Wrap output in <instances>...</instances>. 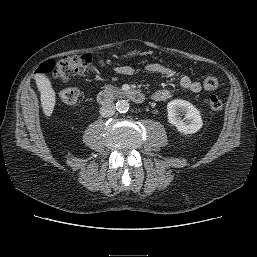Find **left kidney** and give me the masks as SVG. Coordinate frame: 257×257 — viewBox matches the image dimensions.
<instances>
[{
    "label": "left kidney",
    "instance_id": "1",
    "mask_svg": "<svg viewBox=\"0 0 257 257\" xmlns=\"http://www.w3.org/2000/svg\"><path fill=\"white\" fill-rule=\"evenodd\" d=\"M168 121L174 125L180 133L193 134L200 130L203 121L198 109L190 102L175 99L167 104ZM185 114V118L181 116Z\"/></svg>",
    "mask_w": 257,
    "mask_h": 257
}]
</instances>
